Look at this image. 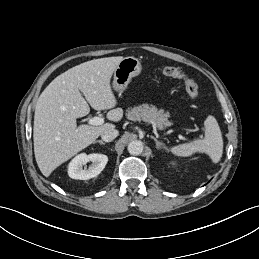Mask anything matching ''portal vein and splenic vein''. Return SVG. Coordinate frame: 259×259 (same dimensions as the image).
I'll return each mask as SVG.
<instances>
[{"instance_id":"1","label":"portal vein and splenic vein","mask_w":259,"mask_h":259,"mask_svg":"<svg viewBox=\"0 0 259 259\" xmlns=\"http://www.w3.org/2000/svg\"><path fill=\"white\" fill-rule=\"evenodd\" d=\"M103 123H104V119L99 116H95L88 121L89 125H94V126H99V125H102Z\"/></svg>"}]
</instances>
